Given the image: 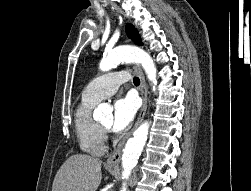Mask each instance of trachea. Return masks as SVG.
Segmentation results:
<instances>
[{
	"mask_svg": "<svg viewBox=\"0 0 251 191\" xmlns=\"http://www.w3.org/2000/svg\"><path fill=\"white\" fill-rule=\"evenodd\" d=\"M133 83H134L135 86L140 85V80H139V78H138L137 76H135V77L133 78Z\"/></svg>",
	"mask_w": 251,
	"mask_h": 191,
	"instance_id": "3493384b",
	"label": "trachea"
}]
</instances>
